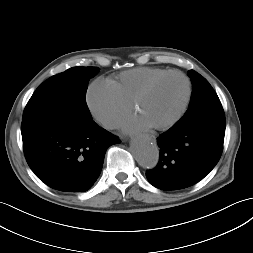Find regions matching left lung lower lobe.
Returning a JSON list of instances; mask_svg holds the SVG:
<instances>
[{
    "instance_id": "0a47b994",
    "label": "left lung lower lobe",
    "mask_w": 253,
    "mask_h": 253,
    "mask_svg": "<svg viewBox=\"0 0 253 253\" xmlns=\"http://www.w3.org/2000/svg\"><path fill=\"white\" fill-rule=\"evenodd\" d=\"M225 117L178 121L159 136L160 159L146 177L156 188L178 190L203 179L218 163L225 134Z\"/></svg>"
}]
</instances>
